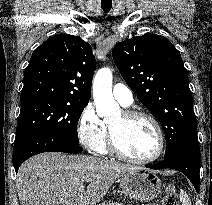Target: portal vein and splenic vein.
Segmentation results:
<instances>
[{"mask_svg": "<svg viewBox=\"0 0 212 205\" xmlns=\"http://www.w3.org/2000/svg\"><path fill=\"white\" fill-rule=\"evenodd\" d=\"M79 192H80V193H83V192H84V185H81V186H80Z\"/></svg>", "mask_w": 212, "mask_h": 205, "instance_id": "portal-vein-and-splenic-vein-1", "label": "portal vein and splenic vein"}]
</instances>
